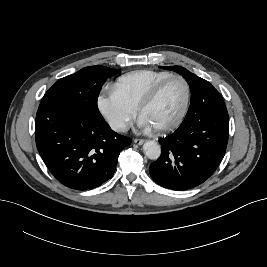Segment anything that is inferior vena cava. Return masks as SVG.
<instances>
[{
    "instance_id": "inferior-vena-cava-1",
    "label": "inferior vena cava",
    "mask_w": 267,
    "mask_h": 267,
    "mask_svg": "<svg viewBox=\"0 0 267 267\" xmlns=\"http://www.w3.org/2000/svg\"><path fill=\"white\" fill-rule=\"evenodd\" d=\"M110 126L114 131L124 132L127 130L126 123L121 119H116L110 122Z\"/></svg>"
}]
</instances>
